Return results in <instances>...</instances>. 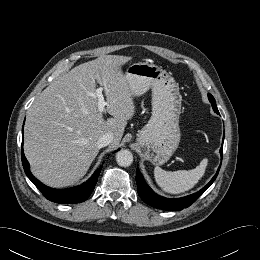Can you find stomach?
I'll return each instance as SVG.
<instances>
[{
	"label": "stomach",
	"mask_w": 260,
	"mask_h": 260,
	"mask_svg": "<svg viewBox=\"0 0 260 260\" xmlns=\"http://www.w3.org/2000/svg\"><path fill=\"white\" fill-rule=\"evenodd\" d=\"M125 77L133 96L152 91V116L137 141L153 164L167 162L180 142L181 95L174 78L161 67L147 62L128 67Z\"/></svg>",
	"instance_id": "stomach-1"
}]
</instances>
